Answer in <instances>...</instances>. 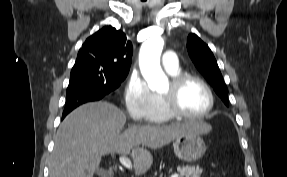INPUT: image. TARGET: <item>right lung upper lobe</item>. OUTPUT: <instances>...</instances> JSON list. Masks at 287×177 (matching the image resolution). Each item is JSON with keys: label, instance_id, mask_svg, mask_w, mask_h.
<instances>
[{"label": "right lung upper lobe", "instance_id": "cb5924a9", "mask_svg": "<svg viewBox=\"0 0 287 177\" xmlns=\"http://www.w3.org/2000/svg\"><path fill=\"white\" fill-rule=\"evenodd\" d=\"M131 57L132 43L126 35L112 26H105L86 39L79 50L75 66L128 73Z\"/></svg>", "mask_w": 287, "mask_h": 177}]
</instances>
